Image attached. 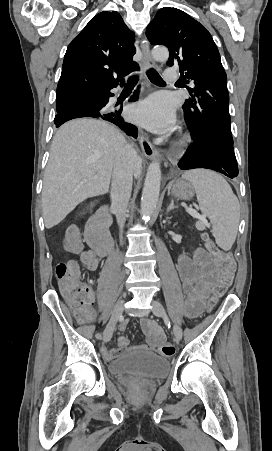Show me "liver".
<instances>
[{
    "label": "liver",
    "mask_w": 272,
    "mask_h": 451,
    "mask_svg": "<svg viewBox=\"0 0 272 451\" xmlns=\"http://www.w3.org/2000/svg\"><path fill=\"white\" fill-rule=\"evenodd\" d=\"M125 138L103 120H71L56 132L42 190L45 227L60 224L78 204L107 194L115 158ZM141 158L133 168L141 174Z\"/></svg>",
    "instance_id": "1"
}]
</instances>
